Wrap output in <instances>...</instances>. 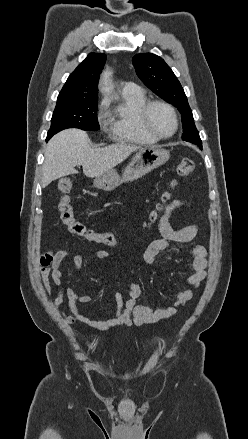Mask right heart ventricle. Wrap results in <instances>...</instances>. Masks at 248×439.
I'll return each mask as SVG.
<instances>
[{
  "label": "right heart ventricle",
  "mask_w": 248,
  "mask_h": 439,
  "mask_svg": "<svg viewBox=\"0 0 248 439\" xmlns=\"http://www.w3.org/2000/svg\"><path fill=\"white\" fill-rule=\"evenodd\" d=\"M148 101L145 92L138 87L133 92H121L119 105L109 114V131L118 142L136 145H152L159 139L150 135L140 120V110Z\"/></svg>",
  "instance_id": "right-heart-ventricle-1"
}]
</instances>
